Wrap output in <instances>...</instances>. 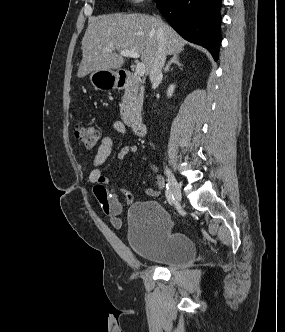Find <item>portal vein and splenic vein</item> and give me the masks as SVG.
Returning a JSON list of instances; mask_svg holds the SVG:
<instances>
[{
	"label": "portal vein and splenic vein",
	"instance_id": "portal-vein-and-splenic-vein-1",
	"mask_svg": "<svg viewBox=\"0 0 285 332\" xmlns=\"http://www.w3.org/2000/svg\"><path fill=\"white\" fill-rule=\"evenodd\" d=\"M107 51H111L112 49L110 48H106ZM119 54L121 56H124V57H131V58H138L140 55L138 52L136 51H133V50H121L119 52ZM145 73V65L144 63H137L136 65V74L138 76H143Z\"/></svg>",
	"mask_w": 285,
	"mask_h": 332
}]
</instances>
